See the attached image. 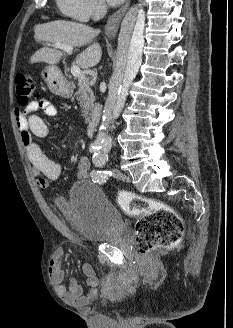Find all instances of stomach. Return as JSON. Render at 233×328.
Segmentation results:
<instances>
[{"label":"stomach","mask_w":233,"mask_h":328,"mask_svg":"<svg viewBox=\"0 0 233 328\" xmlns=\"http://www.w3.org/2000/svg\"><path fill=\"white\" fill-rule=\"evenodd\" d=\"M41 76L52 92L63 97H70L72 95V88L66 83L57 66L51 65L45 67L41 72Z\"/></svg>","instance_id":"obj_1"}]
</instances>
